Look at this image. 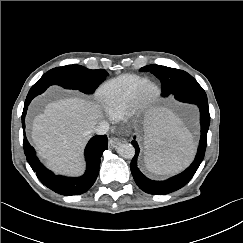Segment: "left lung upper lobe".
Here are the masks:
<instances>
[{
    "instance_id": "left-lung-upper-lobe-1",
    "label": "left lung upper lobe",
    "mask_w": 243,
    "mask_h": 243,
    "mask_svg": "<svg viewBox=\"0 0 243 243\" xmlns=\"http://www.w3.org/2000/svg\"><path fill=\"white\" fill-rule=\"evenodd\" d=\"M141 71H150L161 81L163 97L200 86L190 74L183 70L161 65H148L142 67Z\"/></svg>"
}]
</instances>
